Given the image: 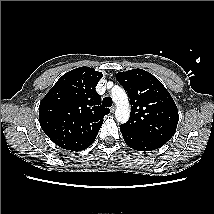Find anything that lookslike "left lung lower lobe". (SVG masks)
<instances>
[{"mask_svg": "<svg viewBox=\"0 0 214 214\" xmlns=\"http://www.w3.org/2000/svg\"><path fill=\"white\" fill-rule=\"evenodd\" d=\"M120 131L126 144L138 151H152L162 147L166 142L148 137L139 133H134L120 127Z\"/></svg>", "mask_w": 214, "mask_h": 214, "instance_id": "1", "label": "left lung lower lobe"}]
</instances>
